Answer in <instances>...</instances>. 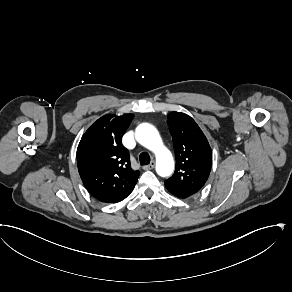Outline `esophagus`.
<instances>
[{
    "label": "esophagus",
    "instance_id": "obj_1",
    "mask_svg": "<svg viewBox=\"0 0 292 292\" xmlns=\"http://www.w3.org/2000/svg\"><path fill=\"white\" fill-rule=\"evenodd\" d=\"M154 166H155V161H151V163L149 165L143 166V169L144 170H151L154 168Z\"/></svg>",
    "mask_w": 292,
    "mask_h": 292
}]
</instances>
